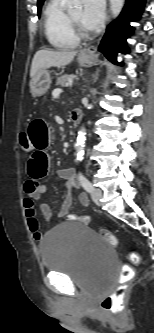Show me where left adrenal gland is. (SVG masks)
Listing matches in <instances>:
<instances>
[{"mask_svg": "<svg viewBox=\"0 0 154 333\" xmlns=\"http://www.w3.org/2000/svg\"><path fill=\"white\" fill-rule=\"evenodd\" d=\"M98 79V77L97 76H95V78H94V81H96Z\"/></svg>", "mask_w": 154, "mask_h": 333, "instance_id": "obj_1", "label": "left adrenal gland"}]
</instances>
